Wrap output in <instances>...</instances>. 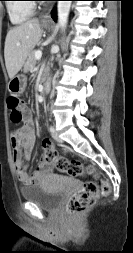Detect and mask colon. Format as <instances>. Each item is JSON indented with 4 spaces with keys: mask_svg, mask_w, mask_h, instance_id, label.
Instances as JSON below:
<instances>
[{
    "mask_svg": "<svg viewBox=\"0 0 133 253\" xmlns=\"http://www.w3.org/2000/svg\"><path fill=\"white\" fill-rule=\"evenodd\" d=\"M7 107L10 118L14 123L24 121L26 116V107L24 102L18 96H9L7 98ZM45 152L43 158L46 162L54 165L62 173L72 177H83L92 172V168H87L76 160H68L60 157L56 149L51 145V137H42ZM111 183L106 178H101L98 182L86 183L82 190L74 193L66 204V212L70 215L79 214L90 208L100 197H105L110 193Z\"/></svg>",
    "mask_w": 133,
    "mask_h": 253,
    "instance_id": "obj_1",
    "label": "colon"
}]
</instances>
